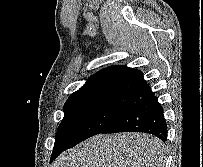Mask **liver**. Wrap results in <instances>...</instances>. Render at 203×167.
<instances>
[{
    "label": "liver",
    "instance_id": "obj_1",
    "mask_svg": "<svg viewBox=\"0 0 203 167\" xmlns=\"http://www.w3.org/2000/svg\"><path fill=\"white\" fill-rule=\"evenodd\" d=\"M165 145L142 133L100 134L65 151L52 167H164Z\"/></svg>",
    "mask_w": 203,
    "mask_h": 167
}]
</instances>
